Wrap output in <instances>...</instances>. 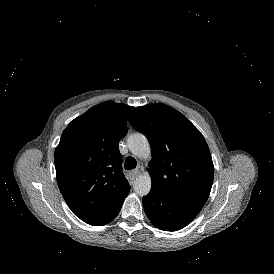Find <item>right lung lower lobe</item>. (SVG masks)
<instances>
[{
	"label": "right lung lower lobe",
	"instance_id": "obj_1",
	"mask_svg": "<svg viewBox=\"0 0 274 274\" xmlns=\"http://www.w3.org/2000/svg\"><path fill=\"white\" fill-rule=\"evenodd\" d=\"M121 206H122V204L120 205L119 209L116 211V214H115L114 218L118 215V213H119V211H120V209H121ZM114 218H113V219H114ZM113 219H112V220H113Z\"/></svg>",
	"mask_w": 274,
	"mask_h": 274
}]
</instances>
